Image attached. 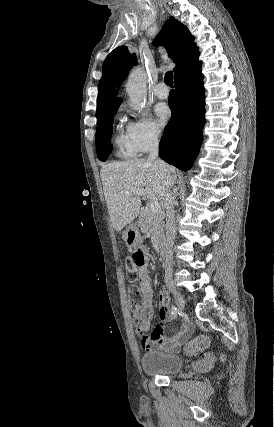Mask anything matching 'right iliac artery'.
Instances as JSON below:
<instances>
[{"instance_id": "1", "label": "right iliac artery", "mask_w": 274, "mask_h": 427, "mask_svg": "<svg viewBox=\"0 0 274 427\" xmlns=\"http://www.w3.org/2000/svg\"><path fill=\"white\" fill-rule=\"evenodd\" d=\"M177 313H178L177 308L175 306H172V312H171L172 317L176 318L177 317Z\"/></svg>"}]
</instances>
